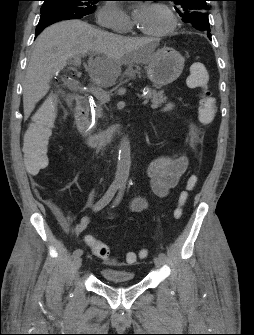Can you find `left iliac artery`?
Instances as JSON below:
<instances>
[{
    "label": "left iliac artery",
    "mask_w": 254,
    "mask_h": 335,
    "mask_svg": "<svg viewBox=\"0 0 254 335\" xmlns=\"http://www.w3.org/2000/svg\"><path fill=\"white\" fill-rule=\"evenodd\" d=\"M119 188H120V192H119L116 200L114 201L113 207L116 206V205H118L119 202L121 201L122 196H123V192H124V189H125V185L122 184ZM158 257H160L162 259H165L166 258V254L164 252H159L158 253Z\"/></svg>",
    "instance_id": "44dca946"
}]
</instances>
